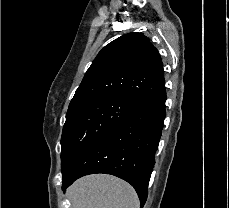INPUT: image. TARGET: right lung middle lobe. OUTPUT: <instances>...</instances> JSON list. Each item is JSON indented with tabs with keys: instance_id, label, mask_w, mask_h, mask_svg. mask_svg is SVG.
<instances>
[{
	"instance_id": "1",
	"label": "right lung middle lobe",
	"mask_w": 229,
	"mask_h": 208,
	"mask_svg": "<svg viewBox=\"0 0 229 208\" xmlns=\"http://www.w3.org/2000/svg\"><path fill=\"white\" fill-rule=\"evenodd\" d=\"M142 106L141 102L126 96L106 95L68 109L61 138L62 176L93 142Z\"/></svg>"
}]
</instances>
